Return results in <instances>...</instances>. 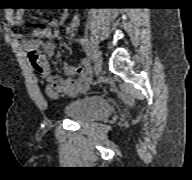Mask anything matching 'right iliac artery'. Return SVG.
Listing matches in <instances>:
<instances>
[{"label": "right iliac artery", "mask_w": 192, "mask_h": 180, "mask_svg": "<svg viewBox=\"0 0 192 180\" xmlns=\"http://www.w3.org/2000/svg\"><path fill=\"white\" fill-rule=\"evenodd\" d=\"M80 43L88 57V61H91V60H94V57H93V52H92V48H91V43L89 42L88 39L86 38H82L80 40Z\"/></svg>", "instance_id": "82829eb1"}]
</instances>
